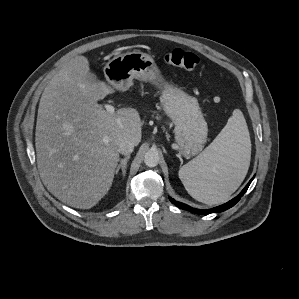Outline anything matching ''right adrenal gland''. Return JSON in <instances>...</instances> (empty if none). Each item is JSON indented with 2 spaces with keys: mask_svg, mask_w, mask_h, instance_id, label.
<instances>
[{
  "mask_svg": "<svg viewBox=\"0 0 299 299\" xmlns=\"http://www.w3.org/2000/svg\"><path fill=\"white\" fill-rule=\"evenodd\" d=\"M129 159H130V155L126 156L124 159H121L120 164L117 166L116 171H115L116 175H118L119 170L121 169L123 178L125 177L126 169H127V162Z\"/></svg>",
  "mask_w": 299,
  "mask_h": 299,
  "instance_id": "1",
  "label": "right adrenal gland"
}]
</instances>
